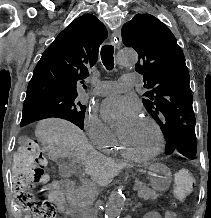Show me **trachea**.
Masks as SVG:
<instances>
[{"label": "trachea", "mask_w": 211, "mask_h": 218, "mask_svg": "<svg viewBox=\"0 0 211 218\" xmlns=\"http://www.w3.org/2000/svg\"><path fill=\"white\" fill-rule=\"evenodd\" d=\"M101 60L107 70H112L114 67V47L112 45H104L101 49Z\"/></svg>", "instance_id": "1"}]
</instances>
